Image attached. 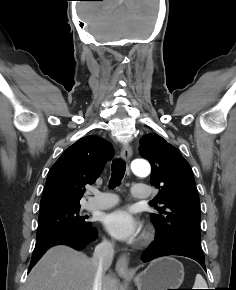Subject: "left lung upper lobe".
Returning <instances> with one entry per match:
<instances>
[{"mask_svg": "<svg viewBox=\"0 0 236 290\" xmlns=\"http://www.w3.org/2000/svg\"><path fill=\"white\" fill-rule=\"evenodd\" d=\"M139 151L152 166L150 181L160 188L157 200L164 204L159 214L150 215L156 230L166 241L186 238L201 246L200 201L189 163L157 134L144 135Z\"/></svg>", "mask_w": 236, "mask_h": 290, "instance_id": "left-lung-upper-lobe-1", "label": "left lung upper lobe"}]
</instances>
